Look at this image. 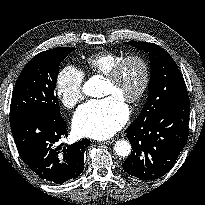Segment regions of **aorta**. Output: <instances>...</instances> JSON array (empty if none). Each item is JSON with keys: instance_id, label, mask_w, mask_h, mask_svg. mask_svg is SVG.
<instances>
[{"instance_id": "obj_1", "label": "aorta", "mask_w": 205, "mask_h": 205, "mask_svg": "<svg viewBox=\"0 0 205 205\" xmlns=\"http://www.w3.org/2000/svg\"><path fill=\"white\" fill-rule=\"evenodd\" d=\"M83 92L84 94L92 97L99 96L100 94V83L95 78L89 79L84 85H83ZM114 150L118 156L121 157H127L131 153V145L126 140H118L115 143Z\"/></svg>"}]
</instances>
